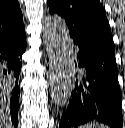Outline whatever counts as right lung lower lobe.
I'll return each instance as SVG.
<instances>
[{
	"instance_id": "obj_1",
	"label": "right lung lower lobe",
	"mask_w": 125,
	"mask_h": 128,
	"mask_svg": "<svg viewBox=\"0 0 125 128\" xmlns=\"http://www.w3.org/2000/svg\"><path fill=\"white\" fill-rule=\"evenodd\" d=\"M26 50L25 28L0 39V83L10 96V115L14 127L18 123L20 88L18 78L22 66V54Z\"/></svg>"
}]
</instances>
